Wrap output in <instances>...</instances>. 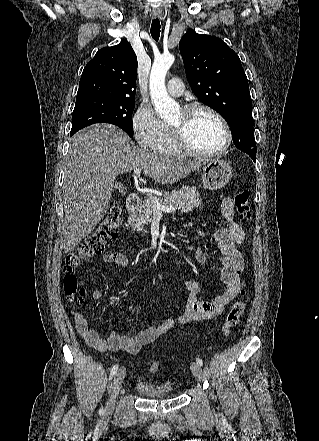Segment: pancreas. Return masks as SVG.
<instances>
[{"mask_svg":"<svg viewBox=\"0 0 319 441\" xmlns=\"http://www.w3.org/2000/svg\"><path fill=\"white\" fill-rule=\"evenodd\" d=\"M162 205L172 206L182 213H188L199 207L202 203L199 192L195 186L180 191L167 192L163 198H148L138 206L130 216L128 223L133 231H141L143 226L151 222L154 211V201Z\"/></svg>","mask_w":319,"mask_h":441,"instance_id":"obj_1","label":"pancreas"}]
</instances>
